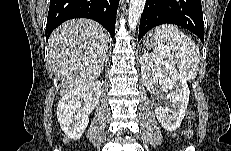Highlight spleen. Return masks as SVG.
<instances>
[{"label": "spleen", "mask_w": 231, "mask_h": 151, "mask_svg": "<svg viewBox=\"0 0 231 151\" xmlns=\"http://www.w3.org/2000/svg\"><path fill=\"white\" fill-rule=\"evenodd\" d=\"M158 39L154 54L165 60L187 81L196 78L199 71L200 51L197 44L172 24L158 26L154 30Z\"/></svg>", "instance_id": "obj_1"}]
</instances>
